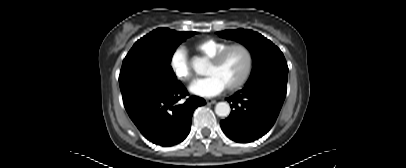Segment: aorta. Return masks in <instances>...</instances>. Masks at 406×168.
I'll return each mask as SVG.
<instances>
[{
	"instance_id": "aorta-1",
	"label": "aorta",
	"mask_w": 406,
	"mask_h": 168,
	"mask_svg": "<svg viewBox=\"0 0 406 168\" xmlns=\"http://www.w3.org/2000/svg\"><path fill=\"white\" fill-rule=\"evenodd\" d=\"M192 66L197 74H204L206 63L203 59H194L192 61ZM230 111V105L226 102H219L215 106V113L220 117H227L230 114Z\"/></svg>"
}]
</instances>
